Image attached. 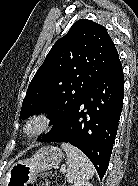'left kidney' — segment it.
<instances>
[{
  "mask_svg": "<svg viewBox=\"0 0 138 186\" xmlns=\"http://www.w3.org/2000/svg\"><path fill=\"white\" fill-rule=\"evenodd\" d=\"M73 186H93V185L89 182L83 181V182L76 183Z\"/></svg>",
  "mask_w": 138,
  "mask_h": 186,
  "instance_id": "1",
  "label": "left kidney"
}]
</instances>
